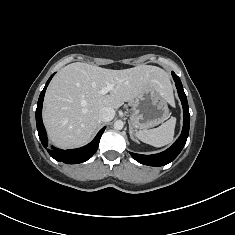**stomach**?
I'll list each match as a JSON object with an SVG mask.
<instances>
[{"instance_id":"obj_1","label":"stomach","mask_w":235,"mask_h":235,"mask_svg":"<svg viewBox=\"0 0 235 235\" xmlns=\"http://www.w3.org/2000/svg\"><path fill=\"white\" fill-rule=\"evenodd\" d=\"M130 124L137 132L147 130L169 117L168 101L156 88L151 87L139 94L132 102Z\"/></svg>"}]
</instances>
